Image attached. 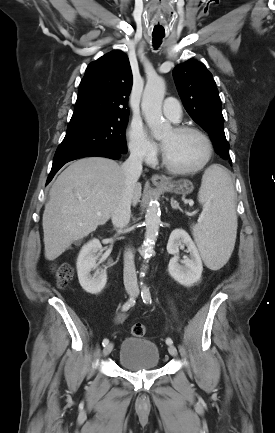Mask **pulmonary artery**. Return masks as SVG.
Listing matches in <instances>:
<instances>
[{
  "label": "pulmonary artery",
  "instance_id": "obj_1",
  "mask_svg": "<svg viewBox=\"0 0 275 433\" xmlns=\"http://www.w3.org/2000/svg\"><path fill=\"white\" fill-rule=\"evenodd\" d=\"M163 112L173 122H178L182 116L180 103L173 98H167L163 103Z\"/></svg>",
  "mask_w": 275,
  "mask_h": 433
}]
</instances>
